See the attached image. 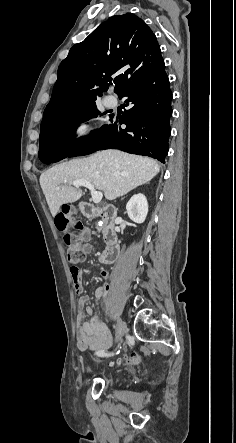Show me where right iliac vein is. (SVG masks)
Returning a JSON list of instances; mask_svg holds the SVG:
<instances>
[{
    "label": "right iliac vein",
    "mask_w": 236,
    "mask_h": 443,
    "mask_svg": "<svg viewBox=\"0 0 236 443\" xmlns=\"http://www.w3.org/2000/svg\"><path fill=\"white\" fill-rule=\"evenodd\" d=\"M125 330H126L125 322L122 320H119L117 323V326H116V334H115V342L116 343H118L121 340Z\"/></svg>",
    "instance_id": "1"
}]
</instances>
